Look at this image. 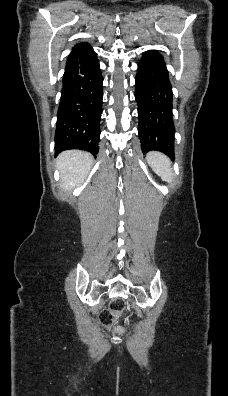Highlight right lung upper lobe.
Masks as SVG:
<instances>
[{"mask_svg": "<svg viewBox=\"0 0 228 396\" xmlns=\"http://www.w3.org/2000/svg\"><path fill=\"white\" fill-rule=\"evenodd\" d=\"M88 45H89L88 43H80V44H77V45L74 47L73 51H75V50H77V49H80V48H83V47L88 46Z\"/></svg>", "mask_w": 228, "mask_h": 396, "instance_id": "right-lung-upper-lobe-1", "label": "right lung upper lobe"}]
</instances>
